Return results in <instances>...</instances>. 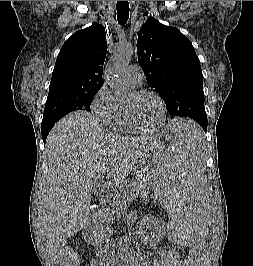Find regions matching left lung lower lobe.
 Returning a JSON list of instances; mask_svg holds the SVG:
<instances>
[{"label": "left lung lower lobe", "mask_w": 253, "mask_h": 266, "mask_svg": "<svg viewBox=\"0 0 253 266\" xmlns=\"http://www.w3.org/2000/svg\"><path fill=\"white\" fill-rule=\"evenodd\" d=\"M202 128L204 129V131H206V130H207V127H205V126H202Z\"/></svg>", "instance_id": "obj_1"}]
</instances>
